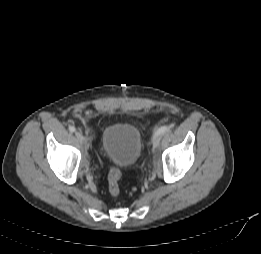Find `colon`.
I'll return each instance as SVG.
<instances>
[{
    "label": "colon",
    "mask_w": 261,
    "mask_h": 254,
    "mask_svg": "<svg viewBox=\"0 0 261 254\" xmlns=\"http://www.w3.org/2000/svg\"><path fill=\"white\" fill-rule=\"evenodd\" d=\"M122 177L121 170L117 167H112L108 173V191L113 197L120 193V180Z\"/></svg>",
    "instance_id": "colon-1"
}]
</instances>
